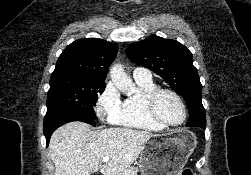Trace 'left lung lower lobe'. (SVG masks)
Segmentation results:
<instances>
[{
    "label": "left lung lower lobe",
    "mask_w": 251,
    "mask_h": 175,
    "mask_svg": "<svg viewBox=\"0 0 251 175\" xmlns=\"http://www.w3.org/2000/svg\"><path fill=\"white\" fill-rule=\"evenodd\" d=\"M189 109V119L186 125L199 124L203 120H206L205 110L203 107L191 106Z\"/></svg>",
    "instance_id": "obj_1"
}]
</instances>
